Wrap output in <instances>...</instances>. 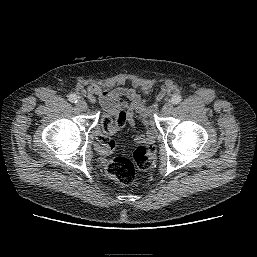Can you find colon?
<instances>
[{
  "label": "colon",
  "instance_id": "colon-1",
  "mask_svg": "<svg viewBox=\"0 0 257 257\" xmlns=\"http://www.w3.org/2000/svg\"><path fill=\"white\" fill-rule=\"evenodd\" d=\"M126 116L122 113L111 117L104 116L101 126L96 131L99 149L102 153L114 150L116 144L112 136L126 125ZM154 147H138L132 155V160L125 157H115L106 168L107 174L122 185H131L136 178V167L150 168L155 161Z\"/></svg>",
  "mask_w": 257,
  "mask_h": 257
}]
</instances>
